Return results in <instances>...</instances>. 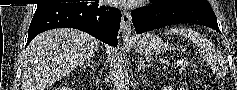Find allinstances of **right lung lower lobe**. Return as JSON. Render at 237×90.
Here are the masks:
<instances>
[{
    "label": "right lung lower lobe",
    "mask_w": 237,
    "mask_h": 90,
    "mask_svg": "<svg viewBox=\"0 0 237 90\" xmlns=\"http://www.w3.org/2000/svg\"><path fill=\"white\" fill-rule=\"evenodd\" d=\"M121 12L95 2L39 4L31 21L26 46L39 33L54 28L82 30L111 46L117 47Z\"/></svg>",
    "instance_id": "98d812e1"
}]
</instances>
